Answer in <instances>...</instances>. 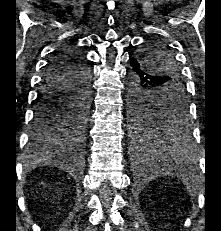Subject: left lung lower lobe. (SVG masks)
I'll return each instance as SVG.
<instances>
[{
  "instance_id": "1",
  "label": "left lung lower lobe",
  "mask_w": 221,
  "mask_h": 231,
  "mask_svg": "<svg viewBox=\"0 0 221 231\" xmlns=\"http://www.w3.org/2000/svg\"><path fill=\"white\" fill-rule=\"evenodd\" d=\"M145 63H142L137 58H131V70L129 74V116L136 115L145 109L149 102L147 95L158 93L161 89V78L151 74ZM179 135L172 138L171 135L160 134L154 138L137 141L136 144L141 149H151V161L155 164L162 161V155L172 159L171 163L175 168H181V159L190 156L192 153V141L187 125L179 123ZM134 135V134H133ZM135 138V136H134Z\"/></svg>"
}]
</instances>
